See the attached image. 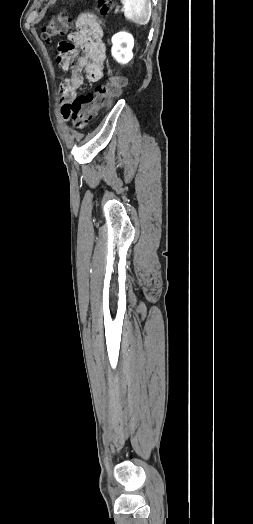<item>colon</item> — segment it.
Returning a JSON list of instances; mask_svg holds the SVG:
<instances>
[{
    "instance_id": "obj_1",
    "label": "colon",
    "mask_w": 253,
    "mask_h": 524,
    "mask_svg": "<svg viewBox=\"0 0 253 524\" xmlns=\"http://www.w3.org/2000/svg\"><path fill=\"white\" fill-rule=\"evenodd\" d=\"M96 1L97 13L101 15L108 13L112 0ZM70 27V17L66 13H61L42 26L41 38L45 43L49 44L55 38L65 35ZM63 42L61 41L60 43ZM126 84L127 82L123 77L110 73L109 82L104 86L96 88L94 94L78 96L71 104L65 105L62 108L63 117L65 120L71 121L75 129L80 130L84 128L96 111L100 107L107 105L114 97H117Z\"/></svg>"
}]
</instances>
